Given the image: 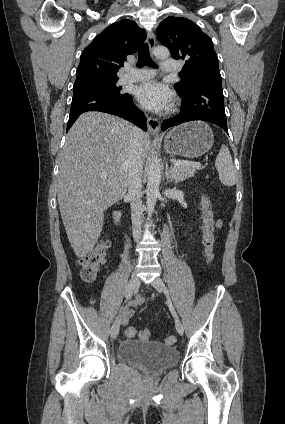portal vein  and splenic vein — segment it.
<instances>
[{
  "mask_svg": "<svg viewBox=\"0 0 285 424\" xmlns=\"http://www.w3.org/2000/svg\"><path fill=\"white\" fill-rule=\"evenodd\" d=\"M179 164H186V165H190L194 168H200L202 166L201 163L198 162H187V161H174L173 165H179ZM102 176H105V174H103Z\"/></svg>",
  "mask_w": 285,
  "mask_h": 424,
  "instance_id": "18ae733b",
  "label": "portal vein and splenic vein"
}]
</instances>
